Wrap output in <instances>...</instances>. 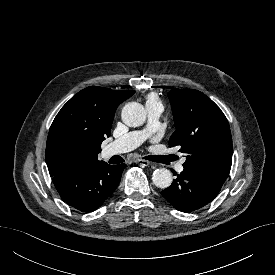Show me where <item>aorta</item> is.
Listing matches in <instances>:
<instances>
[{"label": "aorta", "mask_w": 275, "mask_h": 275, "mask_svg": "<svg viewBox=\"0 0 275 275\" xmlns=\"http://www.w3.org/2000/svg\"><path fill=\"white\" fill-rule=\"evenodd\" d=\"M121 117L127 126L138 127L146 120V110L140 103L129 102L123 107ZM152 181L158 188H168L172 183V174L165 168L156 169L153 172Z\"/></svg>", "instance_id": "obj_1"}]
</instances>
